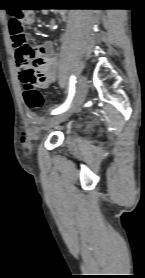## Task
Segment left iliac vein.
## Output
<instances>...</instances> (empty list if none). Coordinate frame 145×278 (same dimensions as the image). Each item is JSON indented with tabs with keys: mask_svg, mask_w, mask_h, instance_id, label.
I'll return each instance as SVG.
<instances>
[{
	"mask_svg": "<svg viewBox=\"0 0 145 278\" xmlns=\"http://www.w3.org/2000/svg\"><path fill=\"white\" fill-rule=\"evenodd\" d=\"M88 92V81L86 76L81 75L78 83L77 92L71 105L62 113L57 114L49 119L45 123V128L54 127L61 122L65 121L71 116V114L79 107V105L84 101L86 94Z\"/></svg>",
	"mask_w": 145,
	"mask_h": 278,
	"instance_id": "4c4485c4",
	"label": "left iliac vein"
}]
</instances>
